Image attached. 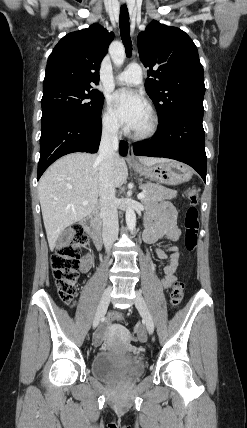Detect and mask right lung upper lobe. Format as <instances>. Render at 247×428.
I'll list each match as a JSON object with an SVG mask.
<instances>
[{
    "label": "right lung upper lobe",
    "instance_id": "1",
    "mask_svg": "<svg viewBox=\"0 0 247 428\" xmlns=\"http://www.w3.org/2000/svg\"><path fill=\"white\" fill-rule=\"evenodd\" d=\"M113 38L112 32L97 24L63 37L48 58L43 92L98 84L100 62Z\"/></svg>",
    "mask_w": 247,
    "mask_h": 428
}]
</instances>
